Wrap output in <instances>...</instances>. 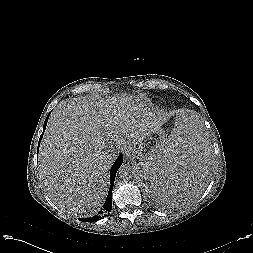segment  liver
I'll use <instances>...</instances> for the list:
<instances>
[{"instance_id":"1","label":"liver","mask_w":253,"mask_h":253,"mask_svg":"<svg viewBox=\"0 0 253 253\" xmlns=\"http://www.w3.org/2000/svg\"><path fill=\"white\" fill-rule=\"evenodd\" d=\"M168 120L166 113L133 106V97L75 98L53 110L39 150L47 195L61 210L87 217L103 205L109 170L126 145L139 144ZM116 148V151L109 152Z\"/></svg>"}]
</instances>
